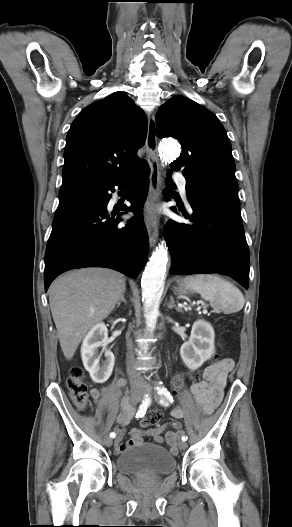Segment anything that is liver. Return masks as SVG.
Returning a JSON list of instances; mask_svg holds the SVG:
<instances>
[{
    "label": "liver",
    "mask_w": 292,
    "mask_h": 527,
    "mask_svg": "<svg viewBox=\"0 0 292 527\" xmlns=\"http://www.w3.org/2000/svg\"><path fill=\"white\" fill-rule=\"evenodd\" d=\"M124 276L105 268L68 272L49 287V303L66 359L70 360L88 330L105 319L125 292Z\"/></svg>",
    "instance_id": "6515ba94"
}]
</instances>
